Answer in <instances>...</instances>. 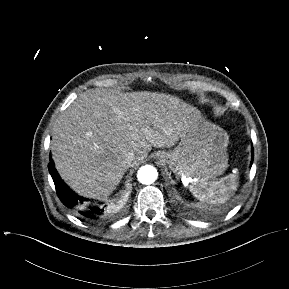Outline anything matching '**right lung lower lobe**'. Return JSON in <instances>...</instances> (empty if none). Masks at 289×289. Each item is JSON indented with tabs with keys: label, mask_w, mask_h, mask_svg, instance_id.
I'll list each match as a JSON object with an SVG mask.
<instances>
[{
	"label": "right lung lower lobe",
	"mask_w": 289,
	"mask_h": 289,
	"mask_svg": "<svg viewBox=\"0 0 289 289\" xmlns=\"http://www.w3.org/2000/svg\"><path fill=\"white\" fill-rule=\"evenodd\" d=\"M48 168L54 181L57 195L65 206L75 210L81 218L88 221L100 222L108 217L107 205L83 199L68 188L58 175L51 158Z\"/></svg>",
	"instance_id": "obj_1"
}]
</instances>
